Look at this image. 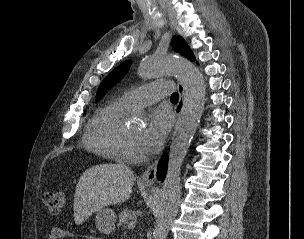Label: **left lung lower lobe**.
<instances>
[{"label":"left lung lower lobe","mask_w":304,"mask_h":239,"mask_svg":"<svg viewBox=\"0 0 304 239\" xmlns=\"http://www.w3.org/2000/svg\"><path fill=\"white\" fill-rule=\"evenodd\" d=\"M166 170H167V155H164L158 164L157 178L159 180L164 179Z\"/></svg>","instance_id":"left-lung-lower-lobe-1"}]
</instances>
